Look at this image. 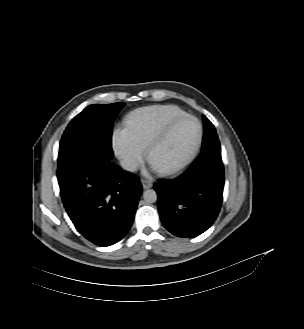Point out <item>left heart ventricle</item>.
<instances>
[{"mask_svg": "<svg viewBox=\"0 0 304 329\" xmlns=\"http://www.w3.org/2000/svg\"><path fill=\"white\" fill-rule=\"evenodd\" d=\"M198 137V125L193 119H184L171 131L169 137L152 152L153 167L170 166L182 161L192 150Z\"/></svg>", "mask_w": 304, "mask_h": 329, "instance_id": "b2bd125f", "label": "left heart ventricle"}]
</instances>
